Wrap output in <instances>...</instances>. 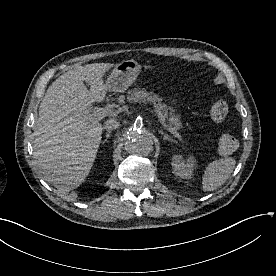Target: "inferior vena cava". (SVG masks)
<instances>
[{
    "instance_id": "1",
    "label": "inferior vena cava",
    "mask_w": 276,
    "mask_h": 276,
    "mask_svg": "<svg viewBox=\"0 0 276 276\" xmlns=\"http://www.w3.org/2000/svg\"><path fill=\"white\" fill-rule=\"evenodd\" d=\"M119 126L120 122L117 119H109L104 123L103 128L108 131H111L113 129L118 128Z\"/></svg>"
}]
</instances>
